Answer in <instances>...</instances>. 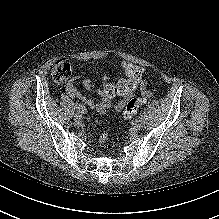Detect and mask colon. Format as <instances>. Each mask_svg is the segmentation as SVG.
I'll return each instance as SVG.
<instances>
[{
  "label": "colon",
  "mask_w": 219,
  "mask_h": 219,
  "mask_svg": "<svg viewBox=\"0 0 219 219\" xmlns=\"http://www.w3.org/2000/svg\"><path fill=\"white\" fill-rule=\"evenodd\" d=\"M71 63L69 59L63 58L58 60L52 68V77L58 82L62 83L69 79L71 76ZM123 71L126 78L117 82H110L105 80L102 87L103 102L101 105L102 111L110 108L111 99L115 97H125L121 109L125 120L132 119L137 113L138 109L146 102L145 97L134 96V91L139 84L142 83L143 70L137 65L125 63Z\"/></svg>",
  "instance_id": "1"
}]
</instances>
